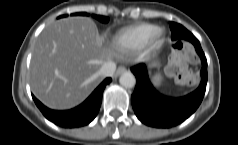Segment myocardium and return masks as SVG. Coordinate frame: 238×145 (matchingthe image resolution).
<instances>
[{
  "instance_id": "1",
  "label": "myocardium",
  "mask_w": 238,
  "mask_h": 145,
  "mask_svg": "<svg viewBox=\"0 0 238 145\" xmlns=\"http://www.w3.org/2000/svg\"><path fill=\"white\" fill-rule=\"evenodd\" d=\"M164 35H165L164 29L157 27L145 47L148 49H152L159 46L160 43L163 41Z\"/></svg>"
}]
</instances>
